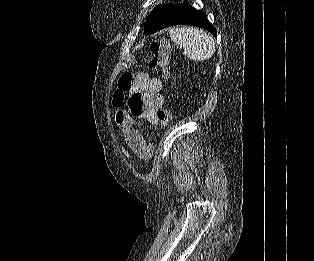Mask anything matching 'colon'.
Returning a JSON list of instances; mask_svg holds the SVG:
<instances>
[{
	"mask_svg": "<svg viewBox=\"0 0 314 261\" xmlns=\"http://www.w3.org/2000/svg\"><path fill=\"white\" fill-rule=\"evenodd\" d=\"M150 56L147 64L151 68H157L158 76L166 79L169 75V55L170 45L164 39L154 40L150 44ZM134 85L133 75L130 72L124 73L118 81V90L115 98L123 100L124 93L129 91ZM159 125L166 127L170 122V113L166 108H161L157 112Z\"/></svg>",
	"mask_w": 314,
	"mask_h": 261,
	"instance_id": "1",
	"label": "colon"
}]
</instances>
